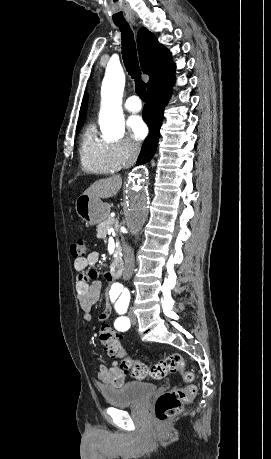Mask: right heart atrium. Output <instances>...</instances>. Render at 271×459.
Returning <instances> with one entry per match:
<instances>
[{
    "label": "right heart atrium",
    "mask_w": 271,
    "mask_h": 459,
    "mask_svg": "<svg viewBox=\"0 0 271 459\" xmlns=\"http://www.w3.org/2000/svg\"><path fill=\"white\" fill-rule=\"evenodd\" d=\"M141 147L129 138H123L112 143V156L119 166L135 162Z\"/></svg>",
    "instance_id": "obj_1"
}]
</instances>
